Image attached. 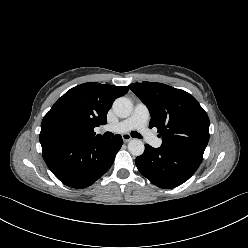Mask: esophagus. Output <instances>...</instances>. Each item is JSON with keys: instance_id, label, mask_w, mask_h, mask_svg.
<instances>
[{"instance_id": "obj_1", "label": "esophagus", "mask_w": 248, "mask_h": 248, "mask_svg": "<svg viewBox=\"0 0 248 248\" xmlns=\"http://www.w3.org/2000/svg\"><path fill=\"white\" fill-rule=\"evenodd\" d=\"M122 139L125 143H127L132 140V137L129 134H124L122 135Z\"/></svg>"}]
</instances>
